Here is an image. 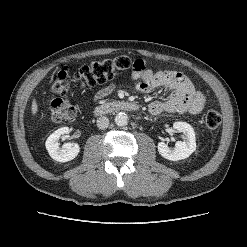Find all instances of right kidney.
<instances>
[{
	"instance_id": "right-kidney-1",
	"label": "right kidney",
	"mask_w": 247,
	"mask_h": 247,
	"mask_svg": "<svg viewBox=\"0 0 247 247\" xmlns=\"http://www.w3.org/2000/svg\"><path fill=\"white\" fill-rule=\"evenodd\" d=\"M69 127H62L54 131L46 140V149L54 160L58 162H68L77 157L80 147L76 143H66L62 147L59 146L58 140L63 134H69Z\"/></svg>"
}]
</instances>
